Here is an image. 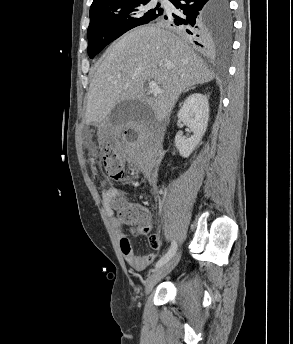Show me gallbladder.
<instances>
[{"instance_id": "1", "label": "gallbladder", "mask_w": 293, "mask_h": 344, "mask_svg": "<svg viewBox=\"0 0 293 344\" xmlns=\"http://www.w3.org/2000/svg\"><path fill=\"white\" fill-rule=\"evenodd\" d=\"M147 107L140 101L128 100L118 103L108 116L111 126L125 125L130 121L139 120Z\"/></svg>"}]
</instances>
